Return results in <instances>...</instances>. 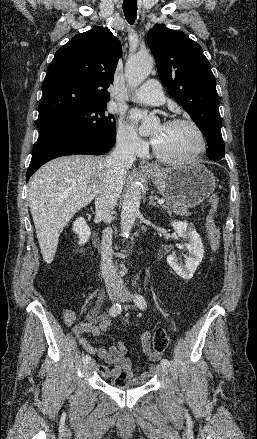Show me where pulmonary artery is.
Segmentation results:
<instances>
[{"label": "pulmonary artery", "instance_id": "pulmonary-artery-1", "mask_svg": "<svg viewBox=\"0 0 257 439\" xmlns=\"http://www.w3.org/2000/svg\"><path fill=\"white\" fill-rule=\"evenodd\" d=\"M130 99L149 105H160L164 102V95L159 82L151 79L132 92Z\"/></svg>", "mask_w": 257, "mask_h": 439}]
</instances>
